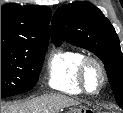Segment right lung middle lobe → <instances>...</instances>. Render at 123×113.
I'll return each instance as SVG.
<instances>
[{"label": "right lung middle lobe", "instance_id": "dd1d6c3e", "mask_svg": "<svg viewBox=\"0 0 123 113\" xmlns=\"http://www.w3.org/2000/svg\"><path fill=\"white\" fill-rule=\"evenodd\" d=\"M48 42L1 43V98L31 90L37 83Z\"/></svg>", "mask_w": 123, "mask_h": 113}]
</instances>
